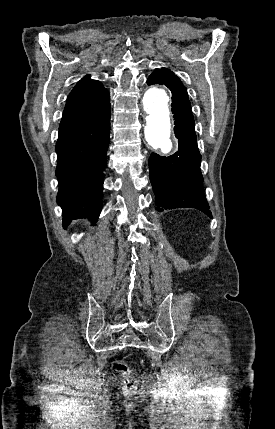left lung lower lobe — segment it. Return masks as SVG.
Wrapping results in <instances>:
<instances>
[{"instance_id":"1","label":"left lung lower lobe","mask_w":275,"mask_h":429,"mask_svg":"<svg viewBox=\"0 0 275 429\" xmlns=\"http://www.w3.org/2000/svg\"><path fill=\"white\" fill-rule=\"evenodd\" d=\"M162 84L172 93L174 133L179 148L171 156L152 153L149 158L150 181L155 194L156 210L195 208L212 217L203 190L200 170L201 155L197 147L195 123L187 90L179 78L168 69H157L147 84Z\"/></svg>"}]
</instances>
